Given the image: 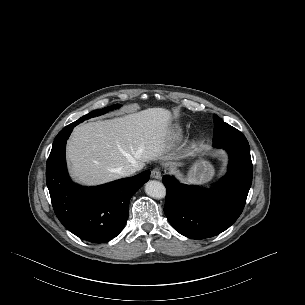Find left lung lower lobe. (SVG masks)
<instances>
[{
    "mask_svg": "<svg viewBox=\"0 0 305 305\" xmlns=\"http://www.w3.org/2000/svg\"><path fill=\"white\" fill-rule=\"evenodd\" d=\"M229 154L227 174L214 189L184 185L169 175L162 178L167 188L164 212L182 235L205 239L228 229L240 216L252 182L250 149L221 146Z\"/></svg>",
    "mask_w": 305,
    "mask_h": 305,
    "instance_id": "left-lung-lower-lobe-1",
    "label": "left lung lower lobe"
}]
</instances>
